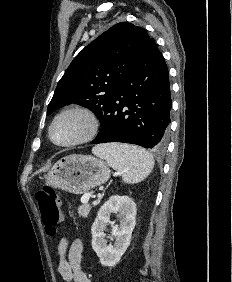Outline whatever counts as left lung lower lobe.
I'll return each instance as SVG.
<instances>
[{
	"instance_id": "obj_1",
	"label": "left lung lower lobe",
	"mask_w": 232,
	"mask_h": 282,
	"mask_svg": "<svg viewBox=\"0 0 232 282\" xmlns=\"http://www.w3.org/2000/svg\"><path fill=\"white\" fill-rule=\"evenodd\" d=\"M127 107L126 111L123 108ZM172 107L168 68L154 40L121 85L94 144L122 142L162 149L168 142Z\"/></svg>"
}]
</instances>
